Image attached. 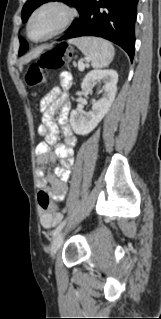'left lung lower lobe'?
<instances>
[{
	"label": "left lung lower lobe",
	"instance_id": "1",
	"mask_svg": "<svg viewBox=\"0 0 161 319\" xmlns=\"http://www.w3.org/2000/svg\"><path fill=\"white\" fill-rule=\"evenodd\" d=\"M137 4L138 0H90L83 16L60 40L80 36L102 37L122 47L132 61Z\"/></svg>",
	"mask_w": 161,
	"mask_h": 319
}]
</instances>
